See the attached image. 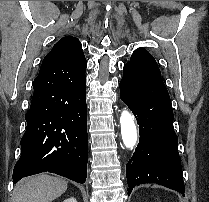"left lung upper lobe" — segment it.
<instances>
[{"label":"left lung upper lobe","instance_id":"5c2ea615","mask_svg":"<svg viewBox=\"0 0 209 202\" xmlns=\"http://www.w3.org/2000/svg\"><path fill=\"white\" fill-rule=\"evenodd\" d=\"M127 64L133 65L139 69H142L148 73L161 76V72L154 57L145 49H137L131 56L130 61Z\"/></svg>","mask_w":209,"mask_h":202}]
</instances>
